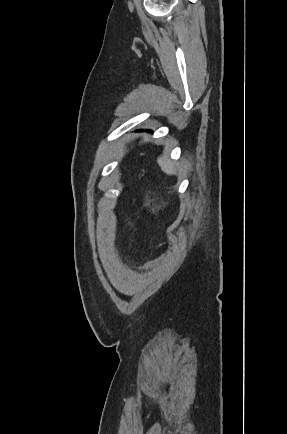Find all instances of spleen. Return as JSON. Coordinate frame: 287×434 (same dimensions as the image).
<instances>
[{
	"label": "spleen",
	"mask_w": 287,
	"mask_h": 434,
	"mask_svg": "<svg viewBox=\"0 0 287 434\" xmlns=\"http://www.w3.org/2000/svg\"><path fill=\"white\" fill-rule=\"evenodd\" d=\"M157 162L164 173L167 175H176V164L168 158V155L158 157Z\"/></svg>",
	"instance_id": "spleen-1"
}]
</instances>
